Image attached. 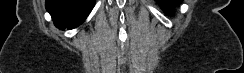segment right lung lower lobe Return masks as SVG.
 <instances>
[{
	"mask_svg": "<svg viewBox=\"0 0 244 73\" xmlns=\"http://www.w3.org/2000/svg\"><path fill=\"white\" fill-rule=\"evenodd\" d=\"M95 0H46V9L61 30L79 26L94 7Z\"/></svg>",
	"mask_w": 244,
	"mask_h": 73,
	"instance_id": "right-lung-lower-lobe-1",
	"label": "right lung lower lobe"
}]
</instances>
